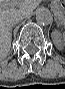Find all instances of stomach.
<instances>
[{
    "label": "stomach",
    "mask_w": 65,
    "mask_h": 89,
    "mask_svg": "<svg viewBox=\"0 0 65 89\" xmlns=\"http://www.w3.org/2000/svg\"><path fill=\"white\" fill-rule=\"evenodd\" d=\"M54 14L57 16L59 22L65 23V3L64 2H53L51 4Z\"/></svg>",
    "instance_id": "1"
}]
</instances>
